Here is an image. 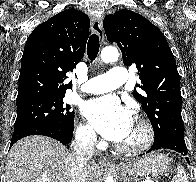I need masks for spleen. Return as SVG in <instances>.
Listing matches in <instances>:
<instances>
[{"mask_svg": "<svg viewBox=\"0 0 196 182\" xmlns=\"http://www.w3.org/2000/svg\"><path fill=\"white\" fill-rule=\"evenodd\" d=\"M171 182H189L188 175L181 164L177 165L176 173L173 176Z\"/></svg>", "mask_w": 196, "mask_h": 182, "instance_id": "obj_1", "label": "spleen"}]
</instances>
